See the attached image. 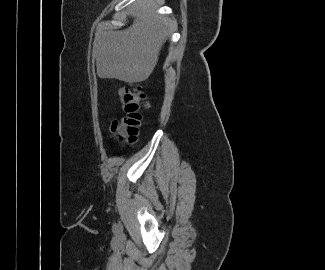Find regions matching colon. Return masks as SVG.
<instances>
[{
    "label": "colon",
    "mask_w": 325,
    "mask_h": 270,
    "mask_svg": "<svg viewBox=\"0 0 325 270\" xmlns=\"http://www.w3.org/2000/svg\"><path fill=\"white\" fill-rule=\"evenodd\" d=\"M118 94L126 112V116L117 122L114 132L118 134L120 141L134 143L137 140L142 124V109L145 104V94L139 86L124 85L119 88Z\"/></svg>",
    "instance_id": "obj_1"
}]
</instances>
